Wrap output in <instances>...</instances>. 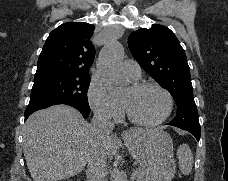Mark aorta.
Segmentation results:
<instances>
[{
	"label": "aorta",
	"mask_w": 228,
	"mask_h": 181,
	"mask_svg": "<svg viewBox=\"0 0 228 181\" xmlns=\"http://www.w3.org/2000/svg\"><path fill=\"white\" fill-rule=\"evenodd\" d=\"M123 57V46L116 39L107 42L99 54L97 69L105 87L112 96L122 94L128 86L119 73V64ZM110 181H120L118 172L111 173Z\"/></svg>",
	"instance_id": "762f6f07"
}]
</instances>
